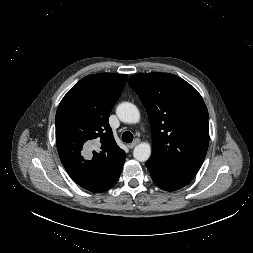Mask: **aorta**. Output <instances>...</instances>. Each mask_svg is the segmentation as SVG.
<instances>
[{
    "mask_svg": "<svg viewBox=\"0 0 253 253\" xmlns=\"http://www.w3.org/2000/svg\"><path fill=\"white\" fill-rule=\"evenodd\" d=\"M118 118L129 124H135L140 120L138 108L130 102H122L116 108ZM133 156L137 161L145 162L151 156V146L147 142H142L135 146Z\"/></svg>",
    "mask_w": 253,
    "mask_h": 253,
    "instance_id": "obj_1",
    "label": "aorta"
}]
</instances>
